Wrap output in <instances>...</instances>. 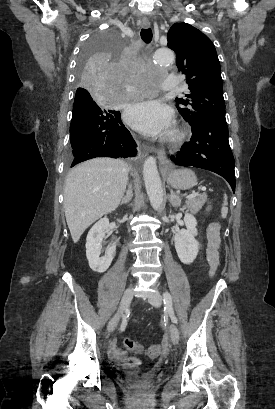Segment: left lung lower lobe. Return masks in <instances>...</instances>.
<instances>
[{
	"label": "left lung lower lobe",
	"mask_w": 275,
	"mask_h": 409,
	"mask_svg": "<svg viewBox=\"0 0 275 409\" xmlns=\"http://www.w3.org/2000/svg\"><path fill=\"white\" fill-rule=\"evenodd\" d=\"M191 126L190 142L171 155V160L177 165L213 171L224 177L235 192V162L228 142L226 120L207 118Z\"/></svg>",
	"instance_id": "1"
}]
</instances>
